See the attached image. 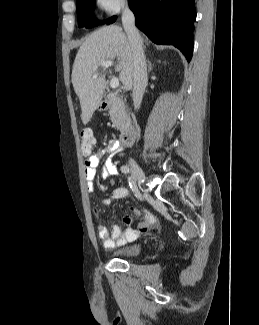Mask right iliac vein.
<instances>
[{
	"label": "right iliac vein",
	"instance_id": "obj_1",
	"mask_svg": "<svg viewBox=\"0 0 259 325\" xmlns=\"http://www.w3.org/2000/svg\"><path fill=\"white\" fill-rule=\"evenodd\" d=\"M129 166L131 167L134 178L138 181L139 185H142L145 181V175L142 169L133 160H129Z\"/></svg>",
	"mask_w": 259,
	"mask_h": 325
}]
</instances>
